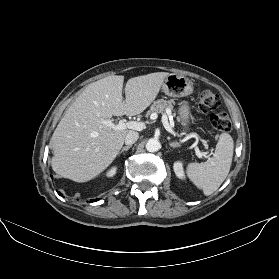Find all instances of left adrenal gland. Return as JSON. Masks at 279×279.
Returning a JSON list of instances; mask_svg holds the SVG:
<instances>
[{"label": "left adrenal gland", "instance_id": "obj_1", "mask_svg": "<svg viewBox=\"0 0 279 279\" xmlns=\"http://www.w3.org/2000/svg\"><path fill=\"white\" fill-rule=\"evenodd\" d=\"M169 146L175 148V147H180V144L177 142H170Z\"/></svg>", "mask_w": 279, "mask_h": 279}]
</instances>
